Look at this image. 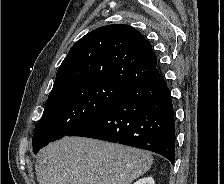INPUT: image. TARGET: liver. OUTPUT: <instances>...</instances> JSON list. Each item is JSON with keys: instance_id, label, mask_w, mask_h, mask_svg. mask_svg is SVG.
Masks as SVG:
<instances>
[{"instance_id": "obj_1", "label": "liver", "mask_w": 224, "mask_h": 184, "mask_svg": "<svg viewBox=\"0 0 224 184\" xmlns=\"http://www.w3.org/2000/svg\"><path fill=\"white\" fill-rule=\"evenodd\" d=\"M153 163L150 152L83 137H64L41 149L39 184H131Z\"/></svg>"}]
</instances>
